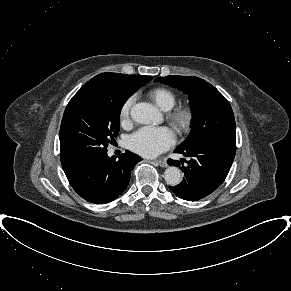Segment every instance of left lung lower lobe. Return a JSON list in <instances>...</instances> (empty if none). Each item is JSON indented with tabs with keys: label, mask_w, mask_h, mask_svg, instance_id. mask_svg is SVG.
<instances>
[{
	"label": "left lung lower lobe",
	"mask_w": 291,
	"mask_h": 291,
	"mask_svg": "<svg viewBox=\"0 0 291 291\" xmlns=\"http://www.w3.org/2000/svg\"><path fill=\"white\" fill-rule=\"evenodd\" d=\"M175 152L190 160L168 159L170 166L182 168L185 175L180 184L169 188L184 200L198 201L224 182L235 157L236 139L214 138L194 146L178 147ZM183 162L187 164L181 167Z\"/></svg>",
	"instance_id": "obj_1"
}]
</instances>
